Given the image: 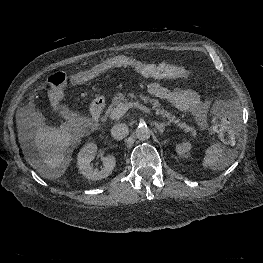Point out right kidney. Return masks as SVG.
Instances as JSON below:
<instances>
[{
	"instance_id": "right-kidney-1",
	"label": "right kidney",
	"mask_w": 263,
	"mask_h": 263,
	"mask_svg": "<svg viewBox=\"0 0 263 263\" xmlns=\"http://www.w3.org/2000/svg\"><path fill=\"white\" fill-rule=\"evenodd\" d=\"M97 146L94 143L86 144L78 153L77 164L80 172L89 180H101L111 175L116 160L114 156L107 155L102 157L104 168L102 170L93 169L91 161L95 158Z\"/></svg>"
}]
</instances>
